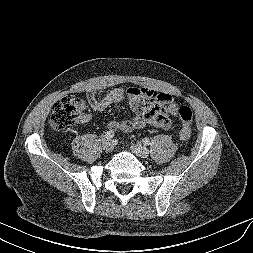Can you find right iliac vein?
Segmentation results:
<instances>
[{
	"instance_id": "obj_1",
	"label": "right iliac vein",
	"mask_w": 253,
	"mask_h": 253,
	"mask_svg": "<svg viewBox=\"0 0 253 253\" xmlns=\"http://www.w3.org/2000/svg\"><path fill=\"white\" fill-rule=\"evenodd\" d=\"M103 149L107 153H111L114 149V144L111 140H105L103 142Z\"/></svg>"
}]
</instances>
